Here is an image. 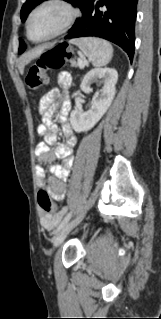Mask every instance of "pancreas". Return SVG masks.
Wrapping results in <instances>:
<instances>
[{
    "label": "pancreas",
    "mask_w": 161,
    "mask_h": 319,
    "mask_svg": "<svg viewBox=\"0 0 161 319\" xmlns=\"http://www.w3.org/2000/svg\"><path fill=\"white\" fill-rule=\"evenodd\" d=\"M79 64L76 62V61H71V66H73V67H76V66H78Z\"/></svg>",
    "instance_id": "cf45deb5"
}]
</instances>
